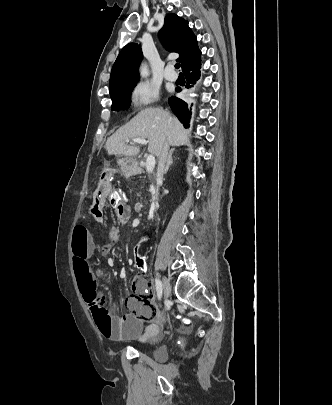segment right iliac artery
Listing matches in <instances>:
<instances>
[{
    "instance_id": "82829eb1",
    "label": "right iliac artery",
    "mask_w": 332,
    "mask_h": 405,
    "mask_svg": "<svg viewBox=\"0 0 332 405\" xmlns=\"http://www.w3.org/2000/svg\"><path fill=\"white\" fill-rule=\"evenodd\" d=\"M155 285H156V292H157L158 299H161L163 288H162L161 281L157 278L155 279Z\"/></svg>"
}]
</instances>
